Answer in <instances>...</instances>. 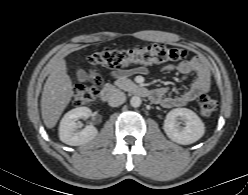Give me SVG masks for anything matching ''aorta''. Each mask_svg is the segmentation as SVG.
Segmentation results:
<instances>
[{
	"label": "aorta",
	"instance_id": "obj_1",
	"mask_svg": "<svg viewBox=\"0 0 248 195\" xmlns=\"http://www.w3.org/2000/svg\"><path fill=\"white\" fill-rule=\"evenodd\" d=\"M142 101H141V98L139 96H133L131 99H130V104L132 107L134 108H137L141 105Z\"/></svg>",
	"mask_w": 248,
	"mask_h": 195
}]
</instances>
